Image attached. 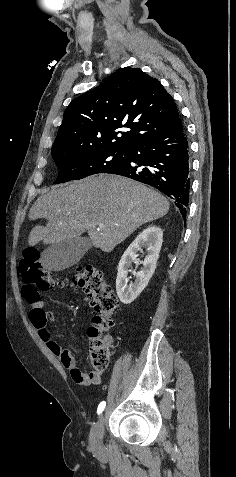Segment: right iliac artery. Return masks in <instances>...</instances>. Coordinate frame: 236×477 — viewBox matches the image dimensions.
I'll list each match as a JSON object with an SVG mask.
<instances>
[{"mask_svg": "<svg viewBox=\"0 0 236 477\" xmlns=\"http://www.w3.org/2000/svg\"><path fill=\"white\" fill-rule=\"evenodd\" d=\"M105 406H106V402H105V401H102V402L98 405V408H97V413H98V415H100V414L104 411Z\"/></svg>", "mask_w": 236, "mask_h": 477, "instance_id": "obj_1", "label": "right iliac artery"}]
</instances>
